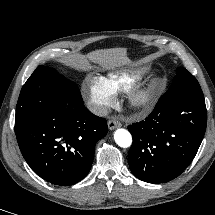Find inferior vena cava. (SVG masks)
I'll use <instances>...</instances> for the list:
<instances>
[{
	"label": "inferior vena cava",
	"instance_id": "inferior-vena-cava-1",
	"mask_svg": "<svg viewBox=\"0 0 215 215\" xmlns=\"http://www.w3.org/2000/svg\"><path fill=\"white\" fill-rule=\"evenodd\" d=\"M89 109L91 112L98 116H106L109 113V109L106 106L103 105H95L91 104L89 105Z\"/></svg>",
	"mask_w": 215,
	"mask_h": 215
}]
</instances>
